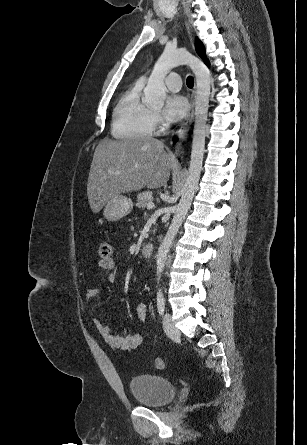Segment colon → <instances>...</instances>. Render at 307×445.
<instances>
[{"mask_svg": "<svg viewBox=\"0 0 307 445\" xmlns=\"http://www.w3.org/2000/svg\"><path fill=\"white\" fill-rule=\"evenodd\" d=\"M96 246L98 255L102 259H109L112 257L113 246L109 241H99ZM152 365L155 369L161 370L164 367V362L161 358H155L152 361Z\"/></svg>", "mask_w": 307, "mask_h": 445, "instance_id": "1", "label": "colon"}]
</instances>
